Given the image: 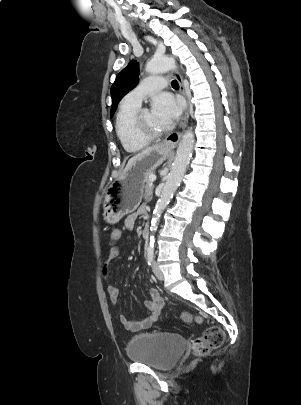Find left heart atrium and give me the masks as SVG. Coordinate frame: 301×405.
Wrapping results in <instances>:
<instances>
[{
  "instance_id": "39dd6f15",
  "label": "left heart atrium",
  "mask_w": 301,
  "mask_h": 405,
  "mask_svg": "<svg viewBox=\"0 0 301 405\" xmlns=\"http://www.w3.org/2000/svg\"><path fill=\"white\" fill-rule=\"evenodd\" d=\"M182 111V102L170 93L158 94L152 102V113L165 126L178 119Z\"/></svg>"
}]
</instances>
